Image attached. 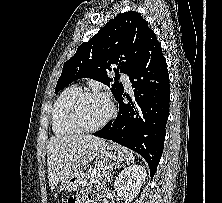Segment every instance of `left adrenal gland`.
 Instances as JSON below:
<instances>
[{"mask_svg": "<svg viewBox=\"0 0 222 203\" xmlns=\"http://www.w3.org/2000/svg\"><path fill=\"white\" fill-rule=\"evenodd\" d=\"M121 165H118V166H115V168L114 169H116V168H119ZM114 169L113 170H111V172L109 173V176H108V182L110 181V178H111V176H112V173L114 172Z\"/></svg>", "mask_w": 222, "mask_h": 203, "instance_id": "1", "label": "left adrenal gland"}]
</instances>
